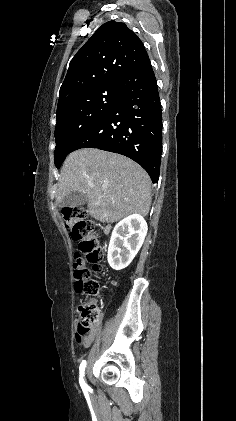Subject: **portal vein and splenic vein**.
<instances>
[{
	"label": "portal vein and splenic vein",
	"mask_w": 236,
	"mask_h": 421,
	"mask_svg": "<svg viewBox=\"0 0 236 421\" xmlns=\"http://www.w3.org/2000/svg\"><path fill=\"white\" fill-rule=\"evenodd\" d=\"M89 186H94V184H89ZM126 200H127V198H126Z\"/></svg>",
	"instance_id": "18ae733b"
}]
</instances>
